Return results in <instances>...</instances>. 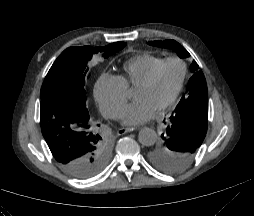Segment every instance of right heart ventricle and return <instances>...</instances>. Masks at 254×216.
Instances as JSON below:
<instances>
[{
	"label": "right heart ventricle",
	"mask_w": 254,
	"mask_h": 216,
	"mask_svg": "<svg viewBox=\"0 0 254 216\" xmlns=\"http://www.w3.org/2000/svg\"><path fill=\"white\" fill-rule=\"evenodd\" d=\"M163 59L146 52L137 54L124 63L123 74L118 77L126 88H135Z\"/></svg>",
	"instance_id": "right-heart-ventricle-1"
}]
</instances>
